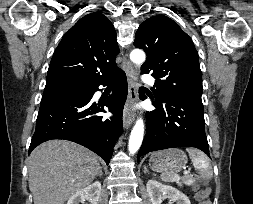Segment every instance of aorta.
<instances>
[{
    "label": "aorta",
    "mask_w": 253,
    "mask_h": 204,
    "mask_svg": "<svg viewBox=\"0 0 253 204\" xmlns=\"http://www.w3.org/2000/svg\"><path fill=\"white\" fill-rule=\"evenodd\" d=\"M130 59L136 65H141L145 61V53L140 49H135L130 54ZM144 135V124L143 120H137L134 128L131 131L129 138L128 149L131 154H134L138 151L142 144Z\"/></svg>",
    "instance_id": "aorta-1"
}]
</instances>
